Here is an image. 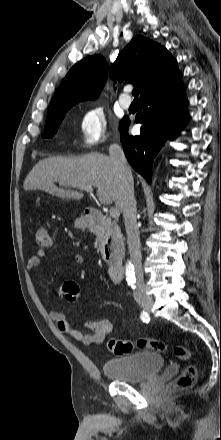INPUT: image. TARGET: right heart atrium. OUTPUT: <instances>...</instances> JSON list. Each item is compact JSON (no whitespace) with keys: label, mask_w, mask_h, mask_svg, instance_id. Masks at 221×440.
Returning <instances> with one entry per match:
<instances>
[{"label":"right heart atrium","mask_w":221,"mask_h":440,"mask_svg":"<svg viewBox=\"0 0 221 440\" xmlns=\"http://www.w3.org/2000/svg\"><path fill=\"white\" fill-rule=\"evenodd\" d=\"M80 139L84 147L92 148L108 138L109 120L100 107L86 109L78 120Z\"/></svg>","instance_id":"obj_1"}]
</instances>
